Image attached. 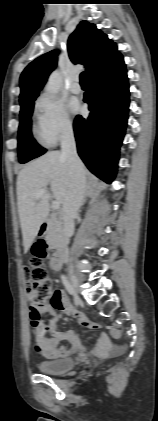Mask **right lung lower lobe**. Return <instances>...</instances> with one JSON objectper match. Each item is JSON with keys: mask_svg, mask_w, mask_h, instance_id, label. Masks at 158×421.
<instances>
[{"mask_svg": "<svg viewBox=\"0 0 158 421\" xmlns=\"http://www.w3.org/2000/svg\"><path fill=\"white\" fill-rule=\"evenodd\" d=\"M84 102L91 112L88 118L78 115L74 121L78 154L93 174L111 183L129 107L128 79L121 54L89 77Z\"/></svg>", "mask_w": 158, "mask_h": 421, "instance_id": "98d812e1", "label": "right lung lower lobe"}]
</instances>
